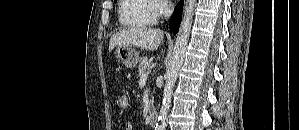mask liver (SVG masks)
I'll list each match as a JSON object with an SVG mask.
<instances>
[{"label":"liver","mask_w":299,"mask_h":130,"mask_svg":"<svg viewBox=\"0 0 299 130\" xmlns=\"http://www.w3.org/2000/svg\"><path fill=\"white\" fill-rule=\"evenodd\" d=\"M164 32L154 28H126L115 33L109 42V51L117 46H136L143 50L154 51L159 47Z\"/></svg>","instance_id":"6515ba94"}]
</instances>
